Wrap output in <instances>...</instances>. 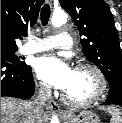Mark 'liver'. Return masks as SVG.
Returning <instances> with one entry per match:
<instances>
[{
    "instance_id": "obj_1",
    "label": "liver",
    "mask_w": 122,
    "mask_h": 123,
    "mask_svg": "<svg viewBox=\"0 0 122 123\" xmlns=\"http://www.w3.org/2000/svg\"><path fill=\"white\" fill-rule=\"evenodd\" d=\"M47 120L43 113H34L32 102L16 98L1 97V123H44Z\"/></svg>"
}]
</instances>
